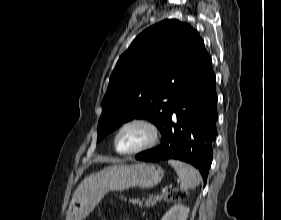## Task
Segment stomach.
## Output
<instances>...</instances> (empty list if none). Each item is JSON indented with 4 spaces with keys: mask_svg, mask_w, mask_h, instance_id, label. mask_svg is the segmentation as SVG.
Listing matches in <instances>:
<instances>
[{
    "mask_svg": "<svg viewBox=\"0 0 281 220\" xmlns=\"http://www.w3.org/2000/svg\"><path fill=\"white\" fill-rule=\"evenodd\" d=\"M164 177V170L152 163L114 165L93 173L77 187L66 220H83L109 191H123L131 187L151 188Z\"/></svg>",
    "mask_w": 281,
    "mask_h": 220,
    "instance_id": "stomach-1",
    "label": "stomach"
}]
</instances>
